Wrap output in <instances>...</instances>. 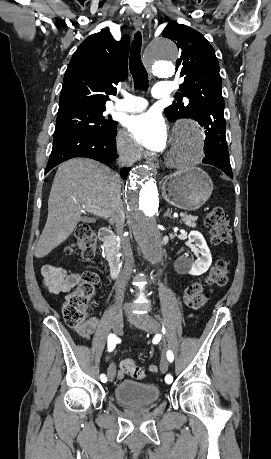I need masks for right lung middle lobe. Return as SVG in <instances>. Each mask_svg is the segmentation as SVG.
<instances>
[{
	"mask_svg": "<svg viewBox=\"0 0 271 459\" xmlns=\"http://www.w3.org/2000/svg\"><path fill=\"white\" fill-rule=\"evenodd\" d=\"M104 107H80L57 114L54 139L75 131L108 132L117 125L116 121L103 116Z\"/></svg>",
	"mask_w": 271,
	"mask_h": 459,
	"instance_id": "dd1d6c3e",
	"label": "right lung middle lobe"
}]
</instances>
